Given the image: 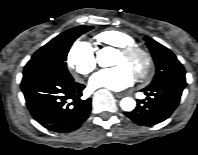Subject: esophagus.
Segmentation results:
<instances>
[{"label":"esophagus","instance_id":"obj_1","mask_svg":"<svg viewBox=\"0 0 198 155\" xmlns=\"http://www.w3.org/2000/svg\"><path fill=\"white\" fill-rule=\"evenodd\" d=\"M115 96H116L117 98H122V97H124L125 95H124L123 93H116Z\"/></svg>","mask_w":198,"mask_h":155}]
</instances>
